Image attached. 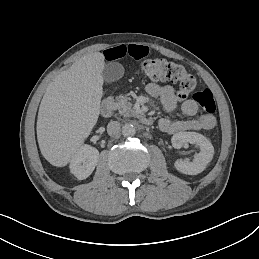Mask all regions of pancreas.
I'll use <instances>...</instances> for the list:
<instances>
[{
	"label": "pancreas",
	"mask_w": 259,
	"mask_h": 259,
	"mask_svg": "<svg viewBox=\"0 0 259 259\" xmlns=\"http://www.w3.org/2000/svg\"><path fill=\"white\" fill-rule=\"evenodd\" d=\"M130 98L125 96L116 97V104L118 105L119 113L127 117H136L140 118L141 115L132 109V103L129 102Z\"/></svg>",
	"instance_id": "1"
}]
</instances>
